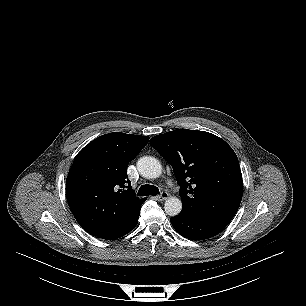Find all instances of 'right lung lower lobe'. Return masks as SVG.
<instances>
[{
	"instance_id": "right-lung-lower-lobe-1",
	"label": "right lung lower lobe",
	"mask_w": 306,
	"mask_h": 306,
	"mask_svg": "<svg viewBox=\"0 0 306 306\" xmlns=\"http://www.w3.org/2000/svg\"><path fill=\"white\" fill-rule=\"evenodd\" d=\"M139 214H140V208L137 210L136 214L134 215V217L131 220V222L129 223V225L118 236H116L114 239H117V238H120V237L124 236L125 234L130 232L133 228H135V226L137 225V222H138Z\"/></svg>"
}]
</instances>
